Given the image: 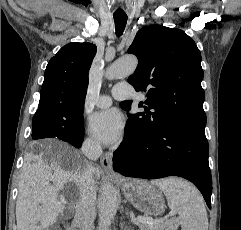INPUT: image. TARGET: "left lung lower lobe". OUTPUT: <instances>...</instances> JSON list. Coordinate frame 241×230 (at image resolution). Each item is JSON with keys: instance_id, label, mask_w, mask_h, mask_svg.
I'll return each mask as SVG.
<instances>
[{"instance_id": "1", "label": "left lung lower lobe", "mask_w": 241, "mask_h": 230, "mask_svg": "<svg viewBox=\"0 0 241 230\" xmlns=\"http://www.w3.org/2000/svg\"><path fill=\"white\" fill-rule=\"evenodd\" d=\"M205 128L170 123L155 133L127 121L124 140L113 154V168L127 177L179 176L200 190L211 209L212 177Z\"/></svg>"}]
</instances>
